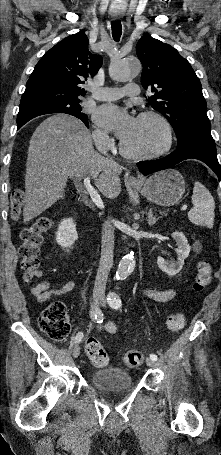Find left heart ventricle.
Segmentation results:
<instances>
[{"mask_svg": "<svg viewBox=\"0 0 221 455\" xmlns=\"http://www.w3.org/2000/svg\"><path fill=\"white\" fill-rule=\"evenodd\" d=\"M123 142L133 151L154 150L164 142L162 127L153 118L137 119L133 133Z\"/></svg>", "mask_w": 221, "mask_h": 455, "instance_id": "left-heart-ventricle-1", "label": "left heart ventricle"}]
</instances>
